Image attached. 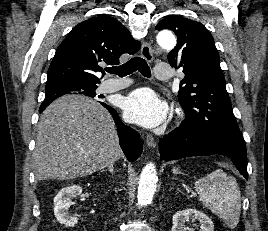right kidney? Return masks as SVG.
<instances>
[{"mask_svg": "<svg viewBox=\"0 0 268 231\" xmlns=\"http://www.w3.org/2000/svg\"><path fill=\"white\" fill-rule=\"evenodd\" d=\"M82 193V188L78 185H71L62 188L54 198V214L57 221L66 227H74L78 223V218L69 213L72 205L71 199Z\"/></svg>", "mask_w": 268, "mask_h": 231, "instance_id": "obj_1", "label": "right kidney"}]
</instances>
